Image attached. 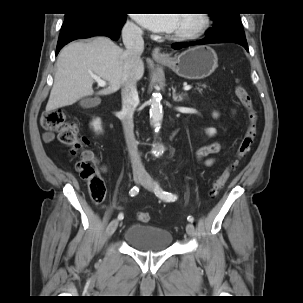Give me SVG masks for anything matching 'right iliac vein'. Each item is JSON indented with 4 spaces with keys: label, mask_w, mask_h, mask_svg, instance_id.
Returning <instances> with one entry per match:
<instances>
[{
    "label": "right iliac vein",
    "mask_w": 303,
    "mask_h": 303,
    "mask_svg": "<svg viewBox=\"0 0 303 303\" xmlns=\"http://www.w3.org/2000/svg\"><path fill=\"white\" fill-rule=\"evenodd\" d=\"M144 179V175L140 173L133 174V180L135 183H140ZM119 221L117 219L112 220L106 229V239L110 238L116 231Z\"/></svg>",
    "instance_id": "63e3f726"
}]
</instances>
